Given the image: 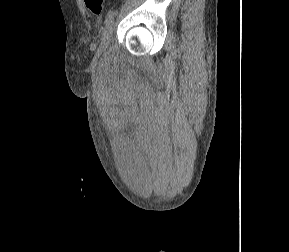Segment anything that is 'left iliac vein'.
I'll list each match as a JSON object with an SVG mask.
<instances>
[{
	"label": "left iliac vein",
	"mask_w": 289,
	"mask_h": 252,
	"mask_svg": "<svg viewBox=\"0 0 289 252\" xmlns=\"http://www.w3.org/2000/svg\"><path fill=\"white\" fill-rule=\"evenodd\" d=\"M113 33V20L109 22L105 29L103 30L101 41H100V50L104 51L110 44L111 37Z\"/></svg>",
	"instance_id": "4c4485c4"
}]
</instances>
